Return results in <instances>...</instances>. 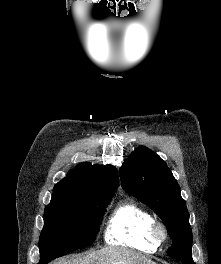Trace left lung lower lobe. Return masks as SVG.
Wrapping results in <instances>:
<instances>
[{
  "label": "left lung lower lobe",
  "mask_w": 221,
  "mask_h": 264,
  "mask_svg": "<svg viewBox=\"0 0 221 264\" xmlns=\"http://www.w3.org/2000/svg\"><path fill=\"white\" fill-rule=\"evenodd\" d=\"M181 262H182L183 264H195V262H193L192 259L181 260Z\"/></svg>",
  "instance_id": "0a47b994"
}]
</instances>
